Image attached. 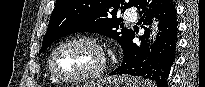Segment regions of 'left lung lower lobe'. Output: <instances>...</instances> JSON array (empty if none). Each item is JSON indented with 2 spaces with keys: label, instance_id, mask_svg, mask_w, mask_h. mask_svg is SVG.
Here are the masks:
<instances>
[{
  "label": "left lung lower lobe",
  "instance_id": "left-lung-lower-lobe-1",
  "mask_svg": "<svg viewBox=\"0 0 205 87\" xmlns=\"http://www.w3.org/2000/svg\"><path fill=\"white\" fill-rule=\"evenodd\" d=\"M142 15L140 22L150 25L151 17L158 18L159 33L155 44L149 49L147 44L149 29L140 37L141 45L133 43L135 33L123 49L124 60L111 75L129 74L141 76L153 81L158 87H167L168 76L175 60L177 44V18L176 8L172 0H139L135 6Z\"/></svg>",
  "mask_w": 205,
  "mask_h": 87
}]
</instances>
